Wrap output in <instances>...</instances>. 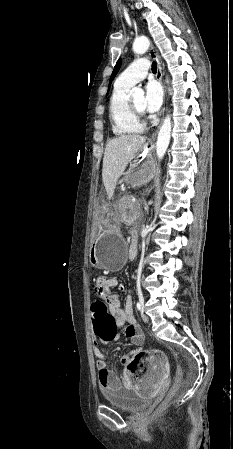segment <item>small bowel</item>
Segmentation results:
<instances>
[{
    "instance_id": "obj_1",
    "label": "small bowel",
    "mask_w": 233,
    "mask_h": 449,
    "mask_svg": "<svg viewBox=\"0 0 233 449\" xmlns=\"http://www.w3.org/2000/svg\"><path fill=\"white\" fill-rule=\"evenodd\" d=\"M115 287H120V285L116 278H112L111 274H97L92 284V289L98 296L99 301H105L111 319H115L116 329L121 328L123 330L122 334L118 332V337L115 338V341L124 339L134 346H142L145 337L133 315L132 297L127 295L122 305L118 296L112 293V289ZM92 335L94 340L92 351L98 370L99 384L103 389L125 383L130 384L131 390L137 391L140 399H155L156 395L160 394L161 384L164 383V377L168 376L169 371V364L165 363L166 355L163 354L162 347H147L146 354L149 356L150 363H148V368L143 369V375L124 374L122 378H119L108 370L107 357L96 343L97 334ZM130 355L132 353H128L125 356Z\"/></svg>"
}]
</instances>
